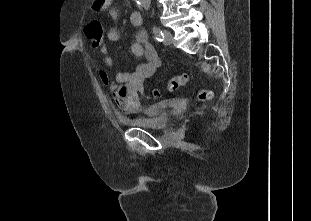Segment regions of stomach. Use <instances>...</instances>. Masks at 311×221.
Returning a JSON list of instances; mask_svg holds the SVG:
<instances>
[{
  "label": "stomach",
  "mask_w": 311,
  "mask_h": 221,
  "mask_svg": "<svg viewBox=\"0 0 311 221\" xmlns=\"http://www.w3.org/2000/svg\"><path fill=\"white\" fill-rule=\"evenodd\" d=\"M109 2L110 0H93V4H98L96 10H104Z\"/></svg>",
  "instance_id": "stomach-1"
}]
</instances>
